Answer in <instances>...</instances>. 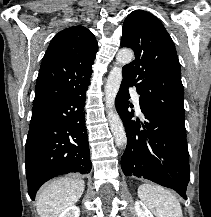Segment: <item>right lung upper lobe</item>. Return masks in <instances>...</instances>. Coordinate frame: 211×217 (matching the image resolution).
I'll list each match as a JSON object with an SVG mask.
<instances>
[{
  "instance_id": "1",
  "label": "right lung upper lobe",
  "mask_w": 211,
  "mask_h": 217,
  "mask_svg": "<svg viewBox=\"0 0 211 217\" xmlns=\"http://www.w3.org/2000/svg\"><path fill=\"white\" fill-rule=\"evenodd\" d=\"M97 51L95 36L85 27L72 26L57 33L41 63L33 111L62 101L87 87Z\"/></svg>"
}]
</instances>
